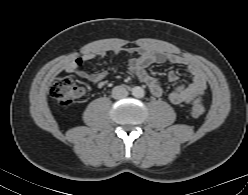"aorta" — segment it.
<instances>
[{"mask_svg":"<svg viewBox=\"0 0 248 195\" xmlns=\"http://www.w3.org/2000/svg\"><path fill=\"white\" fill-rule=\"evenodd\" d=\"M132 94H133V96H135L136 98H142V97H144L145 92H144V89H143V88L137 86V87H134V88H133Z\"/></svg>","mask_w":248,"mask_h":195,"instance_id":"obj_1","label":"aorta"}]
</instances>
